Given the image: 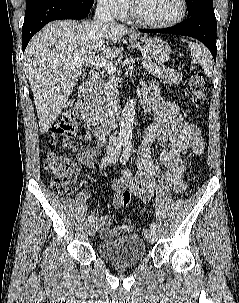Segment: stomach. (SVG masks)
<instances>
[{"label":"stomach","mask_w":239,"mask_h":303,"mask_svg":"<svg viewBox=\"0 0 239 303\" xmlns=\"http://www.w3.org/2000/svg\"><path fill=\"white\" fill-rule=\"evenodd\" d=\"M132 43L142 53L150 56L159 64L167 62L172 52L168 43L157 37H134Z\"/></svg>","instance_id":"stomach-1"}]
</instances>
